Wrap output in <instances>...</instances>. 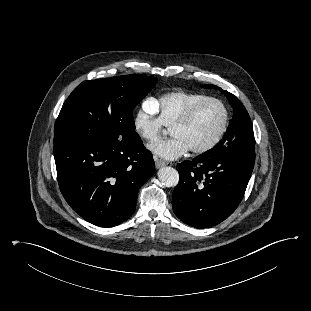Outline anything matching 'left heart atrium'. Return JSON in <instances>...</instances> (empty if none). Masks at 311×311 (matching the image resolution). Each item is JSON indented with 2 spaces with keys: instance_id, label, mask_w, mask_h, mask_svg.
Returning <instances> with one entry per match:
<instances>
[{
  "instance_id": "left-heart-atrium-1",
  "label": "left heart atrium",
  "mask_w": 311,
  "mask_h": 311,
  "mask_svg": "<svg viewBox=\"0 0 311 311\" xmlns=\"http://www.w3.org/2000/svg\"><path fill=\"white\" fill-rule=\"evenodd\" d=\"M150 150L156 157L165 160H175L187 153L190 148L181 137L172 136L169 139L154 143L150 146Z\"/></svg>"
}]
</instances>
